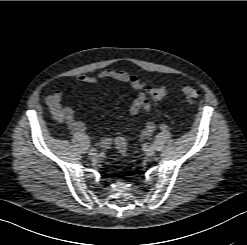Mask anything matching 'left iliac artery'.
I'll return each instance as SVG.
<instances>
[{"label": "left iliac artery", "mask_w": 247, "mask_h": 245, "mask_svg": "<svg viewBox=\"0 0 247 245\" xmlns=\"http://www.w3.org/2000/svg\"><path fill=\"white\" fill-rule=\"evenodd\" d=\"M166 127H167L166 125L162 124L160 128H161L162 130H165Z\"/></svg>", "instance_id": "1"}]
</instances>
